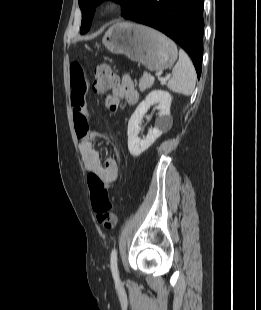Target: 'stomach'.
Here are the masks:
<instances>
[{
  "label": "stomach",
  "instance_id": "obj_1",
  "mask_svg": "<svg viewBox=\"0 0 261 310\" xmlns=\"http://www.w3.org/2000/svg\"><path fill=\"white\" fill-rule=\"evenodd\" d=\"M102 43L114 54H124L151 71H163L177 60L176 45L158 31L136 23L118 22L105 33Z\"/></svg>",
  "mask_w": 261,
  "mask_h": 310
}]
</instances>
